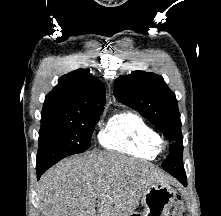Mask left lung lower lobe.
Listing matches in <instances>:
<instances>
[{"instance_id": "1", "label": "left lung lower lobe", "mask_w": 221, "mask_h": 216, "mask_svg": "<svg viewBox=\"0 0 221 216\" xmlns=\"http://www.w3.org/2000/svg\"><path fill=\"white\" fill-rule=\"evenodd\" d=\"M173 176L176 177L181 183L186 185V173L183 168V165L181 166L180 172L178 174H174Z\"/></svg>"}]
</instances>
